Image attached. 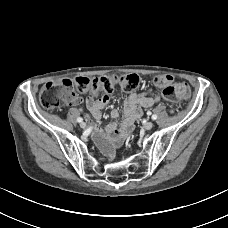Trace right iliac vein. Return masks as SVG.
<instances>
[{
	"label": "right iliac vein",
	"instance_id": "right-iliac-vein-1",
	"mask_svg": "<svg viewBox=\"0 0 228 228\" xmlns=\"http://www.w3.org/2000/svg\"><path fill=\"white\" fill-rule=\"evenodd\" d=\"M80 127L83 128V129L86 128V123L85 122H81L80 123Z\"/></svg>",
	"mask_w": 228,
	"mask_h": 228
}]
</instances>
